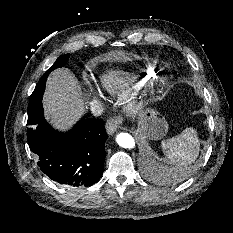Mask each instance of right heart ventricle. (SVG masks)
I'll return each instance as SVG.
<instances>
[{"label":"right heart ventricle","mask_w":233,"mask_h":233,"mask_svg":"<svg viewBox=\"0 0 233 233\" xmlns=\"http://www.w3.org/2000/svg\"><path fill=\"white\" fill-rule=\"evenodd\" d=\"M144 72H142L143 75ZM147 77L142 76L140 78V82H143L146 80ZM101 82L103 86L108 89L109 91H115L118 88L119 83V74L115 72H110L108 74H105L101 78Z\"/></svg>","instance_id":"e07e8e85"}]
</instances>
